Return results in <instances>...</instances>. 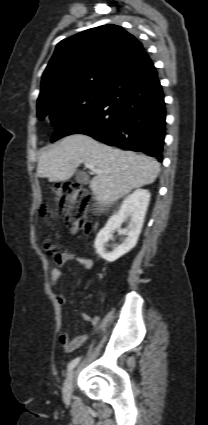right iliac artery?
<instances>
[{"instance_id": "obj_1", "label": "right iliac artery", "mask_w": 208, "mask_h": 425, "mask_svg": "<svg viewBox=\"0 0 208 425\" xmlns=\"http://www.w3.org/2000/svg\"><path fill=\"white\" fill-rule=\"evenodd\" d=\"M80 361V357L73 359L67 366V371L70 372Z\"/></svg>"}]
</instances>
